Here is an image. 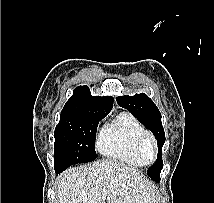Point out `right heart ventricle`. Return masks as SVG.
I'll use <instances>...</instances> for the list:
<instances>
[{"mask_svg": "<svg viewBox=\"0 0 214 203\" xmlns=\"http://www.w3.org/2000/svg\"><path fill=\"white\" fill-rule=\"evenodd\" d=\"M146 132L131 114L121 112L98 134L97 147L104 156L132 166L145 165L136 152V141Z\"/></svg>", "mask_w": 214, "mask_h": 203, "instance_id": "1", "label": "right heart ventricle"}]
</instances>
